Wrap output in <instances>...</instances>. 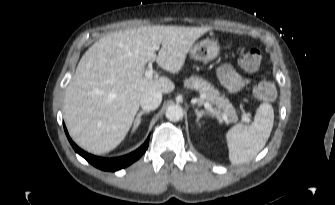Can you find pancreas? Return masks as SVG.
<instances>
[{
    "label": "pancreas",
    "mask_w": 335,
    "mask_h": 205,
    "mask_svg": "<svg viewBox=\"0 0 335 205\" xmlns=\"http://www.w3.org/2000/svg\"><path fill=\"white\" fill-rule=\"evenodd\" d=\"M184 86L189 89H195L205 95L204 98H200L199 104L208 102L216 105L219 111L227 115L228 122H237L238 117L234 106L211 83L198 76H191L184 81Z\"/></svg>",
    "instance_id": "cf45deb5"
}]
</instances>
